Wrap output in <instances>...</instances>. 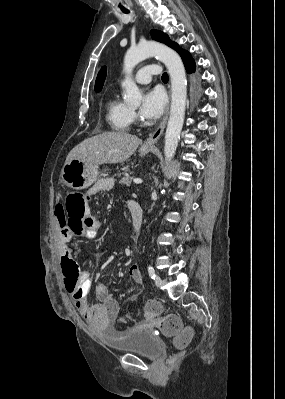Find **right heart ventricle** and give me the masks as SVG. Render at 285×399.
Masks as SVG:
<instances>
[{"mask_svg":"<svg viewBox=\"0 0 285 399\" xmlns=\"http://www.w3.org/2000/svg\"><path fill=\"white\" fill-rule=\"evenodd\" d=\"M131 109L116 96H111L106 103V118L110 127L119 132L128 131L132 122Z\"/></svg>","mask_w":285,"mask_h":399,"instance_id":"obj_1","label":"right heart ventricle"}]
</instances>
